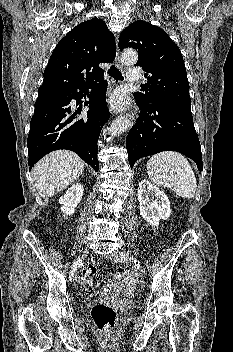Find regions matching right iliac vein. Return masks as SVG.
I'll list each match as a JSON object with an SVG mask.
<instances>
[{
  "instance_id": "right-iliac-vein-1",
  "label": "right iliac vein",
  "mask_w": 233,
  "mask_h": 352,
  "mask_svg": "<svg viewBox=\"0 0 233 352\" xmlns=\"http://www.w3.org/2000/svg\"><path fill=\"white\" fill-rule=\"evenodd\" d=\"M88 254H89V250H88V249H82V250L79 252L78 258L81 259V260H83V259H85V258L88 256ZM75 280H76V282H79V281H80V276L77 275V276L75 277Z\"/></svg>"
}]
</instances>
